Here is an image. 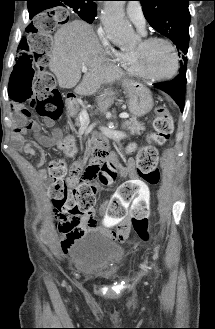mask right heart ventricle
I'll use <instances>...</instances> for the list:
<instances>
[{"label": "right heart ventricle", "mask_w": 215, "mask_h": 329, "mask_svg": "<svg viewBox=\"0 0 215 329\" xmlns=\"http://www.w3.org/2000/svg\"><path fill=\"white\" fill-rule=\"evenodd\" d=\"M118 62L131 74L139 75L133 61V51L119 52Z\"/></svg>", "instance_id": "e07e8e85"}]
</instances>
